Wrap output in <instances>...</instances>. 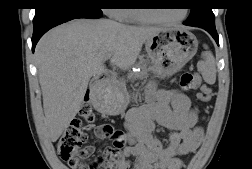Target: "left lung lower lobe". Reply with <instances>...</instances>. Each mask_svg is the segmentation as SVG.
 I'll list each match as a JSON object with an SVG mask.
<instances>
[{"label": "left lung lower lobe", "instance_id": "1", "mask_svg": "<svg viewBox=\"0 0 252 169\" xmlns=\"http://www.w3.org/2000/svg\"><path fill=\"white\" fill-rule=\"evenodd\" d=\"M200 28H203L204 30H206L214 38V40L216 41V43L219 45L218 35H217V31H216L215 27L214 28H211V27H200Z\"/></svg>", "mask_w": 252, "mask_h": 169}]
</instances>
